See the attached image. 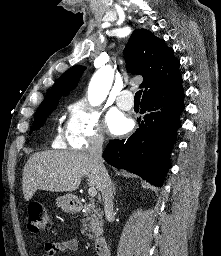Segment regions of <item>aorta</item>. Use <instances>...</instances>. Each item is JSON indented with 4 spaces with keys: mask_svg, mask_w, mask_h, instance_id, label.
I'll list each match as a JSON object with an SVG mask.
<instances>
[{
    "mask_svg": "<svg viewBox=\"0 0 221 256\" xmlns=\"http://www.w3.org/2000/svg\"><path fill=\"white\" fill-rule=\"evenodd\" d=\"M114 77V71L110 66H105L93 75L89 88L88 100L91 105H100L107 97Z\"/></svg>",
    "mask_w": 221,
    "mask_h": 256,
    "instance_id": "obj_1",
    "label": "aorta"
}]
</instances>
